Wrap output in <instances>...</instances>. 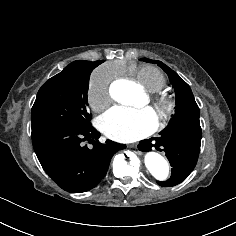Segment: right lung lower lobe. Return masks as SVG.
Masks as SVG:
<instances>
[{
	"mask_svg": "<svg viewBox=\"0 0 236 236\" xmlns=\"http://www.w3.org/2000/svg\"><path fill=\"white\" fill-rule=\"evenodd\" d=\"M99 137L91 124L82 128L56 126L32 132V143L55 183L68 192L81 193L94 188L106 175L114 153L126 148L111 140L101 144ZM86 141L93 147L85 145Z\"/></svg>",
	"mask_w": 236,
	"mask_h": 236,
	"instance_id": "98d812e1",
	"label": "right lung lower lobe"
}]
</instances>
